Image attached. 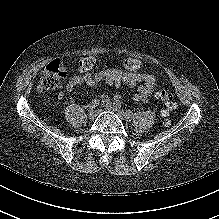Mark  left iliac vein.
<instances>
[{
	"label": "left iliac vein",
	"instance_id": "left-iliac-vein-1",
	"mask_svg": "<svg viewBox=\"0 0 219 219\" xmlns=\"http://www.w3.org/2000/svg\"><path fill=\"white\" fill-rule=\"evenodd\" d=\"M102 106L106 110L117 114L122 120H127V117H125V115H123V112H122L121 108L117 107L116 105L112 104L111 102L103 101Z\"/></svg>",
	"mask_w": 219,
	"mask_h": 219
}]
</instances>
